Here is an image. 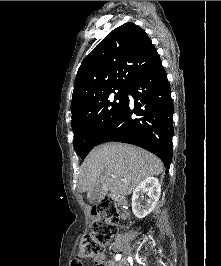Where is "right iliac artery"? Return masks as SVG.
Segmentation results:
<instances>
[{"instance_id":"right-iliac-artery-1","label":"right iliac artery","mask_w":221,"mask_h":266,"mask_svg":"<svg viewBox=\"0 0 221 266\" xmlns=\"http://www.w3.org/2000/svg\"><path fill=\"white\" fill-rule=\"evenodd\" d=\"M120 258H121V255H120V254H117L116 257H115V259H116L117 261L120 260Z\"/></svg>"}]
</instances>
